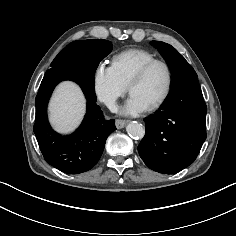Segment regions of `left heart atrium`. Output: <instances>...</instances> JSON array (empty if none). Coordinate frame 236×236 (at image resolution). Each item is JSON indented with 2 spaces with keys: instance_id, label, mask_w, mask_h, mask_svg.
I'll list each match as a JSON object with an SVG mask.
<instances>
[{
  "instance_id": "obj_1",
  "label": "left heart atrium",
  "mask_w": 236,
  "mask_h": 236,
  "mask_svg": "<svg viewBox=\"0 0 236 236\" xmlns=\"http://www.w3.org/2000/svg\"><path fill=\"white\" fill-rule=\"evenodd\" d=\"M147 109L148 105L144 101L138 96L131 94L122 112L126 115H138L145 112Z\"/></svg>"
}]
</instances>
